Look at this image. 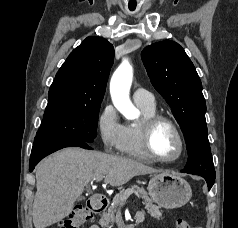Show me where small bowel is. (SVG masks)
<instances>
[{"instance_id":"small-bowel-1","label":"small bowel","mask_w":238,"mask_h":228,"mask_svg":"<svg viewBox=\"0 0 238 228\" xmlns=\"http://www.w3.org/2000/svg\"><path fill=\"white\" fill-rule=\"evenodd\" d=\"M144 219V218H143ZM143 219L142 220H140V221H143ZM89 228H99L97 225H91Z\"/></svg>"}]
</instances>
